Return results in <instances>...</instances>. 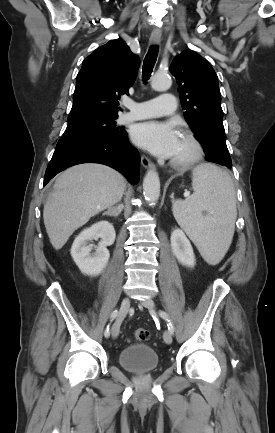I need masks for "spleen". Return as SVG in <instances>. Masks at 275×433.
<instances>
[{
	"instance_id": "1",
	"label": "spleen",
	"mask_w": 275,
	"mask_h": 433,
	"mask_svg": "<svg viewBox=\"0 0 275 433\" xmlns=\"http://www.w3.org/2000/svg\"><path fill=\"white\" fill-rule=\"evenodd\" d=\"M194 193L173 202L177 223L211 265L219 263L232 242L237 217L233 181L228 173L205 163L194 168Z\"/></svg>"
}]
</instances>
